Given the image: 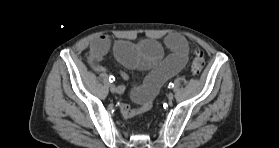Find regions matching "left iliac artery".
<instances>
[{
	"instance_id": "left-iliac-artery-1",
	"label": "left iliac artery",
	"mask_w": 279,
	"mask_h": 148,
	"mask_svg": "<svg viewBox=\"0 0 279 148\" xmlns=\"http://www.w3.org/2000/svg\"><path fill=\"white\" fill-rule=\"evenodd\" d=\"M168 87H169V88H173V87H174V84H173V83H169Z\"/></svg>"
}]
</instances>
